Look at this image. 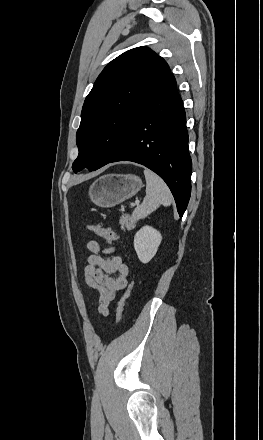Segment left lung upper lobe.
I'll return each instance as SVG.
<instances>
[{
  "label": "left lung upper lobe",
  "mask_w": 263,
  "mask_h": 440,
  "mask_svg": "<svg viewBox=\"0 0 263 440\" xmlns=\"http://www.w3.org/2000/svg\"><path fill=\"white\" fill-rule=\"evenodd\" d=\"M169 73L165 60L147 47L128 50L104 68L82 108L75 173L99 169L117 154L135 117Z\"/></svg>",
  "instance_id": "1"
}]
</instances>
